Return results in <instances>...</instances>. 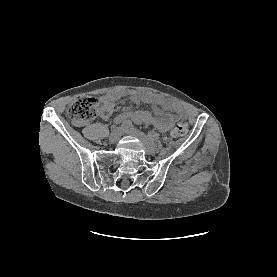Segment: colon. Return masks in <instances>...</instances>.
Wrapping results in <instances>:
<instances>
[{
    "instance_id": "colon-1",
    "label": "colon",
    "mask_w": 277,
    "mask_h": 277,
    "mask_svg": "<svg viewBox=\"0 0 277 277\" xmlns=\"http://www.w3.org/2000/svg\"><path fill=\"white\" fill-rule=\"evenodd\" d=\"M104 109L98 101L90 96H80L73 101L67 111L68 117L75 123H84L103 115ZM189 123L186 119H179L175 122L172 135L175 137L184 136L188 131Z\"/></svg>"
}]
</instances>
